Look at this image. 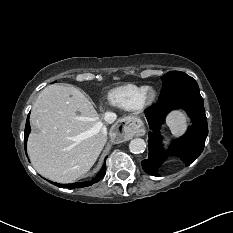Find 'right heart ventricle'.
<instances>
[{"mask_svg":"<svg viewBox=\"0 0 233 233\" xmlns=\"http://www.w3.org/2000/svg\"><path fill=\"white\" fill-rule=\"evenodd\" d=\"M146 86L126 84L116 87L108 92L107 100L110 105L133 110L140 107L141 98Z\"/></svg>","mask_w":233,"mask_h":233,"instance_id":"e07e8e85","label":"right heart ventricle"}]
</instances>
